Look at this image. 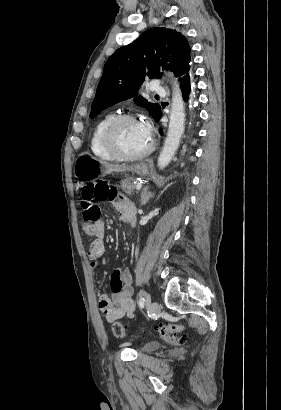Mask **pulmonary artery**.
<instances>
[{"instance_id": "pulmonary-artery-1", "label": "pulmonary artery", "mask_w": 281, "mask_h": 410, "mask_svg": "<svg viewBox=\"0 0 281 410\" xmlns=\"http://www.w3.org/2000/svg\"><path fill=\"white\" fill-rule=\"evenodd\" d=\"M151 90H152V92H154L156 94H164L165 93L164 87L162 85H160L158 81H153L152 82Z\"/></svg>"}]
</instances>
